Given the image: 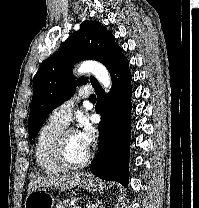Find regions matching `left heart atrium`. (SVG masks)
Wrapping results in <instances>:
<instances>
[{"label": "left heart atrium", "mask_w": 199, "mask_h": 208, "mask_svg": "<svg viewBox=\"0 0 199 208\" xmlns=\"http://www.w3.org/2000/svg\"><path fill=\"white\" fill-rule=\"evenodd\" d=\"M77 135L81 142L89 147L93 141V128L87 119L82 118L79 122V129L77 130Z\"/></svg>", "instance_id": "1"}]
</instances>
